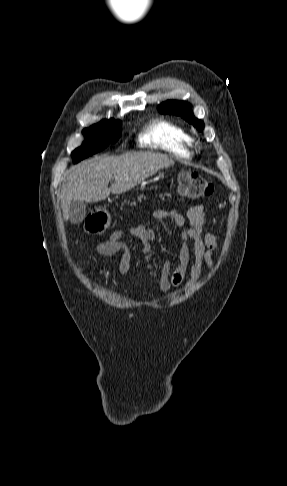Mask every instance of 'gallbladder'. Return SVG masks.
<instances>
[{"instance_id": "gallbladder-1", "label": "gallbladder", "mask_w": 287, "mask_h": 486, "mask_svg": "<svg viewBox=\"0 0 287 486\" xmlns=\"http://www.w3.org/2000/svg\"><path fill=\"white\" fill-rule=\"evenodd\" d=\"M87 204L83 201H72L69 208V218L72 224H80L86 217Z\"/></svg>"}]
</instances>
